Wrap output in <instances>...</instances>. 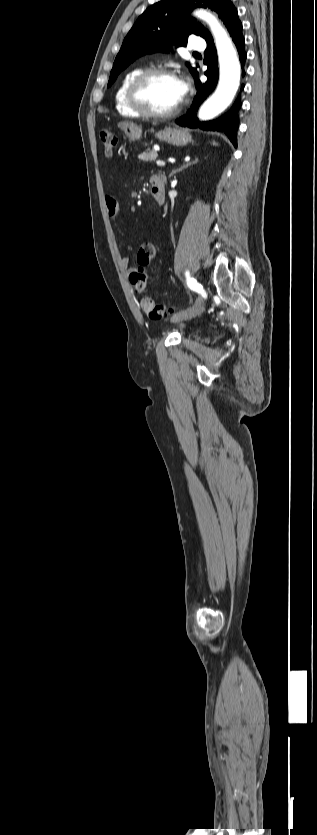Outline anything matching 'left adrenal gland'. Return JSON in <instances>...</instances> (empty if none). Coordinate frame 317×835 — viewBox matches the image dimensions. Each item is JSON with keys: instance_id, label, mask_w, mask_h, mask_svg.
Here are the masks:
<instances>
[{"instance_id": "obj_1", "label": "left adrenal gland", "mask_w": 317, "mask_h": 835, "mask_svg": "<svg viewBox=\"0 0 317 835\" xmlns=\"http://www.w3.org/2000/svg\"><path fill=\"white\" fill-rule=\"evenodd\" d=\"M197 163H198V159H195L192 163H191V162H189V163H187L186 165H183V166H181L180 168H178V169H176V170H173V171L169 174V178H171V177H172L174 174H176L177 172H180V171H182L183 169H186V168H188L189 166H191V165H193V164H197ZM164 180L166 181V177L164 178Z\"/></svg>"}]
</instances>
